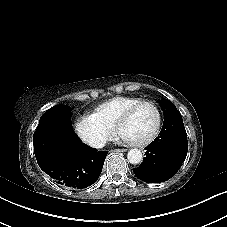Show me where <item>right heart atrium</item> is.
<instances>
[{
  "mask_svg": "<svg viewBox=\"0 0 227 227\" xmlns=\"http://www.w3.org/2000/svg\"><path fill=\"white\" fill-rule=\"evenodd\" d=\"M78 132L84 141L90 146H100L110 135L108 127L98 124L92 119L82 121L78 125Z\"/></svg>",
  "mask_w": 227,
  "mask_h": 227,
  "instance_id": "right-heart-atrium-1",
  "label": "right heart atrium"
}]
</instances>
